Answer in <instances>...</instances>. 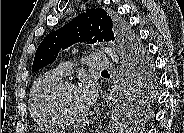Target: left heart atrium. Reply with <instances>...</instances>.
<instances>
[{
  "label": "left heart atrium",
  "mask_w": 184,
  "mask_h": 133,
  "mask_svg": "<svg viewBox=\"0 0 184 133\" xmlns=\"http://www.w3.org/2000/svg\"><path fill=\"white\" fill-rule=\"evenodd\" d=\"M79 95L85 105L89 108L96 100V88L91 82H85L80 88H78Z\"/></svg>",
  "instance_id": "obj_1"
}]
</instances>
